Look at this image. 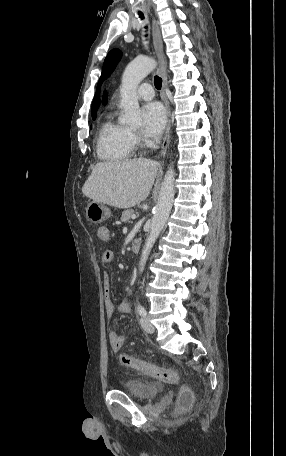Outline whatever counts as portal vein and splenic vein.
I'll return each mask as SVG.
<instances>
[{
    "mask_svg": "<svg viewBox=\"0 0 286 456\" xmlns=\"http://www.w3.org/2000/svg\"><path fill=\"white\" fill-rule=\"evenodd\" d=\"M132 219H136V215H132Z\"/></svg>",
    "mask_w": 286,
    "mask_h": 456,
    "instance_id": "18ae733b",
    "label": "portal vein and splenic vein"
}]
</instances>
